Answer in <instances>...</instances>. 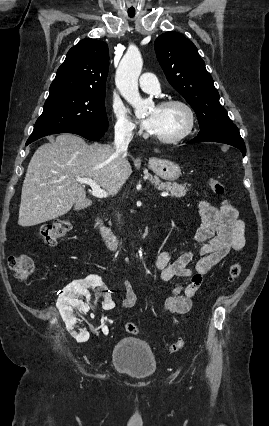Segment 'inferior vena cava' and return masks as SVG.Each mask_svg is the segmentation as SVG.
I'll list each match as a JSON object with an SVG mask.
<instances>
[{
  "label": "inferior vena cava",
  "mask_w": 269,
  "mask_h": 426,
  "mask_svg": "<svg viewBox=\"0 0 269 426\" xmlns=\"http://www.w3.org/2000/svg\"><path fill=\"white\" fill-rule=\"evenodd\" d=\"M132 138L131 133L120 131L115 134L114 140V148L116 154H122L126 152L128 144L130 143Z\"/></svg>",
  "instance_id": "1"
}]
</instances>
